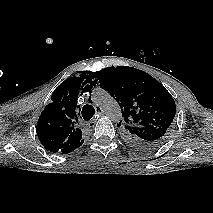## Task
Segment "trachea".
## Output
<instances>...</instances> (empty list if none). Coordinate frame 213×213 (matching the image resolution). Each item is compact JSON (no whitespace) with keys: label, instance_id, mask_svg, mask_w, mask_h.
Returning <instances> with one entry per match:
<instances>
[{"label":"trachea","instance_id":"1","mask_svg":"<svg viewBox=\"0 0 213 213\" xmlns=\"http://www.w3.org/2000/svg\"><path fill=\"white\" fill-rule=\"evenodd\" d=\"M81 114L85 121H89L95 114V109L91 105H85L82 108Z\"/></svg>","mask_w":213,"mask_h":213}]
</instances>
